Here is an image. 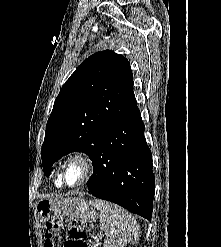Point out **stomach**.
Listing matches in <instances>:
<instances>
[{"label":"stomach","mask_w":221,"mask_h":247,"mask_svg":"<svg viewBox=\"0 0 221 247\" xmlns=\"http://www.w3.org/2000/svg\"><path fill=\"white\" fill-rule=\"evenodd\" d=\"M98 200L76 199H41L36 203V212L43 222L74 216L83 222H93L98 217Z\"/></svg>","instance_id":"stomach-1"}]
</instances>
